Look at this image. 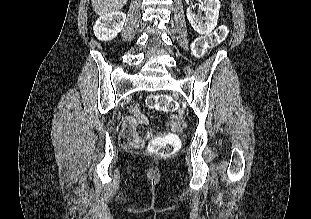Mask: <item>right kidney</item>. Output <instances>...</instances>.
Wrapping results in <instances>:
<instances>
[{
  "label": "right kidney",
  "mask_w": 311,
  "mask_h": 219,
  "mask_svg": "<svg viewBox=\"0 0 311 219\" xmlns=\"http://www.w3.org/2000/svg\"><path fill=\"white\" fill-rule=\"evenodd\" d=\"M125 20L126 15L119 11L103 15L96 21L93 27L94 34L99 40H112L121 32Z\"/></svg>",
  "instance_id": "1"
}]
</instances>
